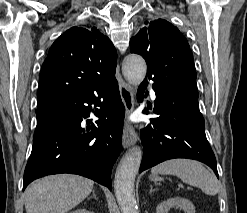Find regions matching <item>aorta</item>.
Here are the masks:
<instances>
[{"label": "aorta", "mask_w": 247, "mask_h": 213, "mask_svg": "<svg viewBox=\"0 0 247 213\" xmlns=\"http://www.w3.org/2000/svg\"><path fill=\"white\" fill-rule=\"evenodd\" d=\"M122 72L129 83L138 86L146 76V62L141 56L130 54L124 61ZM141 159L142 150L135 146L125 154L117 167L114 189L122 213H138L134 196V181Z\"/></svg>", "instance_id": "762f6f07"}]
</instances>
